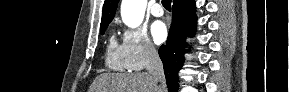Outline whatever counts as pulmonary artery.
Returning <instances> with one entry per match:
<instances>
[{"label":"pulmonary artery","mask_w":289,"mask_h":92,"mask_svg":"<svg viewBox=\"0 0 289 92\" xmlns=\"http://www.w3.org/2000/svg\"><path fill=\"white\" fill-rule=\"evenodd\" d=\"M150 11L151 14L155 17H160L164 13L162 7L158 3L153 4Z\"/></svg>","instance_id":"e3ab8cb5"}]
</instances>
